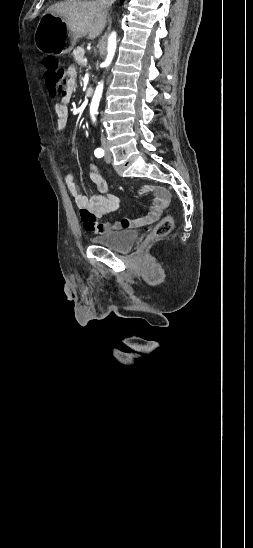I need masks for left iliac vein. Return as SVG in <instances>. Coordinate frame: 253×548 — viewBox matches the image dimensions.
Segmentation results:
<instances>
[{
	"label": "left iliac vein",
	"instance_id": "left-iliac-vein-1",
	"mask_svg": "<svg viewBox=\"0 0 253 548\" xmlns=\"http://www.w3.org/2000/svg\"><path fill=\"white\" fill-rule=\"evenodd\" d=\"M104 149H105V157H104V159H105V161H106L107 163H110L111 160H112V155H111V152H110V150H109L108 145H105Z\"/></svg>",
	"mask_w": 253,
	"mask_h": 548
}]
</instances>
